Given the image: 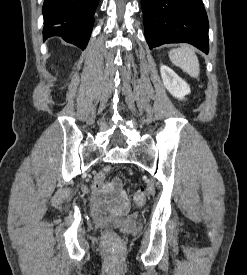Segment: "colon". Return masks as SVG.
<instances>
[{"label": "colon", "mask_w": 247, "mask_h": 275, "mask_svg": "<svg viewBox=\"0 0 247 275\" xmlns=\"http://www.w3.org/2000/svg\"><path fill=\"white\" fill-rule=\"evenodd\" d=\"M105 182V173L101 172L99 173L94 181V185L97 188H100ZM134 203L137 206H142L145 203L146 200V192L144 189H141L137 191L133 196ZM103 241L107 248L109 249H117L120 246V240L116 233L112 230H107L103 234Z\"/></svg>", "instance_id": "5ec220e1"}]
</instances>
